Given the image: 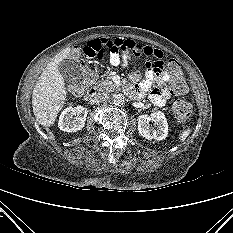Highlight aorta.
I'll use <instances>...</instances> for the list:
<instances>
[{
  "instance_id": "aorta-1",
  "label": "aorta",
  "mask_w": 233,
  "mask_h": 233,
  "mask_svg": "<svg viewBox=\"0 0 233 233\" xmlns=\"http://www.w3.org/2000/svg\"><path fill=\"white\" fill-rule=\"evenodd\" d=\"M112 102L114 105H122L124 103V95L121 93H115L112 96Z\"/></svg>"
}]
</instances>
